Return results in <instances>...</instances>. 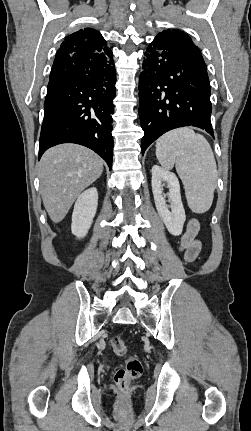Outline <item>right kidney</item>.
Instances as JSON below:
<instances>
[{"instance_id": "obj_1", "label": "right kidney", "mask_w": 251, "mask_h": 431, "mask_svg": "<svg viewBox=\"0 0 251 431\" xmlns=\"http://www.w3.org/2000/svg\"><path fill=\"white\" fill-rule=\"evenodd\" d=\"M98 205V192L95 187L84 191L75 202L72 214L71 231L77 238H83L91 227Z\"/></svg>"}]
</instances>
